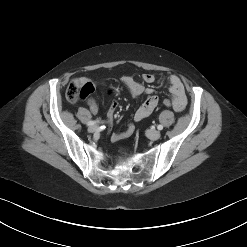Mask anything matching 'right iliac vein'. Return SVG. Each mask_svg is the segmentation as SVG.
<instances>
[{"label":"right iliac vein","mask_w":247,"mask_h":247,"mask_svg":"<svg viewBox=\"0 0 247 247\" xmlns=\"http://www.w3.org/2000/svg\"><path fill=\"white\" fill-rule=\"evenodd\" d=\"M99 130V127L97 126V125H92V126H90L89 128H88V131L90 132V133H95V132H97Z\"/></svg>","instance_id":"63e3f726"}]
</instances>
